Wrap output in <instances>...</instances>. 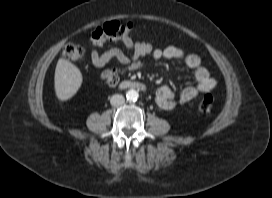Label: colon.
<instances>
[{"mask_svg":"<svg viewBox=\"0 0 272 198\" xmlns=\"http://www.w3.org/2000/svg\"><path fill=\"white\" fill-rule=\"evenodd\" d=\"M135 31V26L131 22L122 23L119 21H110L103 26L96 28L91 34V40L95 44H102L107 41L123 39L130 36ZM66 60L79 61L85 56L84 47L78 44H67L62 51ZM213 106V96L211 93H205L200 102L199 108L203 112H208Z\"/></svg>","mask_w":272,"mask_h":198,"instance_id":"1","label":"colon"}]
</instances>
